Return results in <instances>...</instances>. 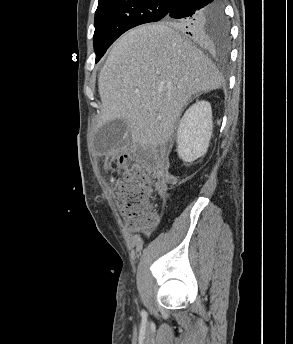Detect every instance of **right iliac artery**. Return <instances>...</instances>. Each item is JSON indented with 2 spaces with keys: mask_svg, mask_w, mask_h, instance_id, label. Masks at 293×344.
<instances>
[{
  "mask_svg": "<svg viewBox=\"0 0 293 344\" xmlns=\"http://www.w3.org/2000/svg\"><path fill=\"white\" fill-rule=\"evenodd\" d=\"M142 314L145 315L146 314L145 311H142Z\"/></svg>",
  "mask_w": 293,
  "mask_h": 344,
  "instance_id": "1",
  "label": "right iliac artery"
}]
</instances>
